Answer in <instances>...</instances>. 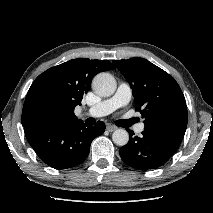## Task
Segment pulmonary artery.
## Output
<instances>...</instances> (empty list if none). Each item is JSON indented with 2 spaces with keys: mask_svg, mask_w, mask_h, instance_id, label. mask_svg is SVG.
Masks as SVG:
<instances>
[{
  "mask_svg": "<svg viewBox=\"0 0 213 213\" xmlns=\"http://www.w3.org/2000/svg\"><path fill=\"white\" fill-rule=\"evenodd\" d=\"M131 99V88L129 84L122 82L118 86L116 93L95 106L89 108L85 115L90 117H102L106 116L118 108H121L128 104ZM144 130V124L140 123L135 127V131L140 134Z\"/></svg>",
  "mask_w": 213,
  "mask_h": 213,
  "instance_id": "1",
  "label": "pulmonary artery"
}]
</instances>
